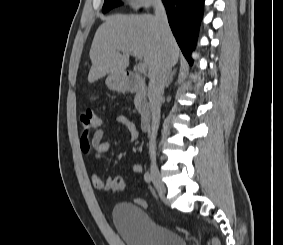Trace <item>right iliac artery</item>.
Here are the masks:
<instances>
[{
  "mask_svg": "<svg viewBox=\"0 0 283 245\" xmlns=\"http://www.w3.org/2000/svg\"><path fill=\"white\" fill-rule=\"evenodd\" d=\"M144 180L150 185L152 182L151 174L149 172H145Z\"/></svg>",
  "mask_w": 283,
  "mask_h": 245,
  "instance_id": "82829eb1",
  "label": "right iliac artery"
}]
</instances>
